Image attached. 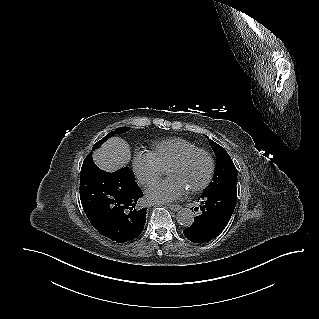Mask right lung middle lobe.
<instances>
[{"mask_svg":"<svg viewBox=\"0 0 319 319\" xmlns=\"http://www.w3.org/2000/svg\"><path fill=\"white\" fill-rule=\"evenodd\" d=\"M127 130H129V128L126 127H121V128H117L115 131H111L110 133H108L103 139H101L100 141H98L97 143H95V145L93 146V150L100 147L109 137H112L115 134H121L126 132Z\"/></svg>","mask_w":319,"mask_h":319,"instance_id":"1","label":"right lung middle lobe"}]
</instances>
